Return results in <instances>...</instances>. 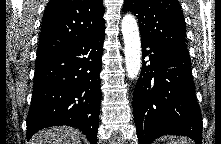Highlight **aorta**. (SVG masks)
Wrapping results in <instances>:
<instances>
[{"mask_svg":"<svg viewBox=\"0 0 221 144\" xmlns=\"http://www.w3.org/2000/svg\"><path fill=\"white\" fill-rule=\"evenodd\" d=\"M125 44V62L128 77L135 79L141 68V42L139 28L132 15H125L121 22Z\"/></svg>","mask_w":221,"mask_h":144,"instance_id":"1","label":"aorta"}]
</instances>
